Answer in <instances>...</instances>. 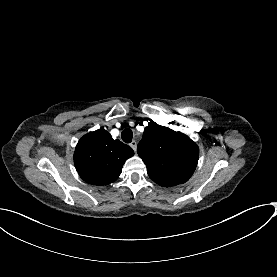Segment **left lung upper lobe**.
<instances>
[{
	"label": "left lung upper lobe",
	"instance_id": "obj_1",
	"mask_svg": "<svg viewBox=\"0 0 277 277\" xmlns=\"http://www.w3.org/2000/svg\"><path fill=\"white\" fill-rule=\"evenodd\" d=\"M149 177L163 187L185 183L193 174L199 149L187 135L149 122L137 146Z\"/></svg>",
	"mask_w": 277,
	"mask_h": 277
}]
</instances>
